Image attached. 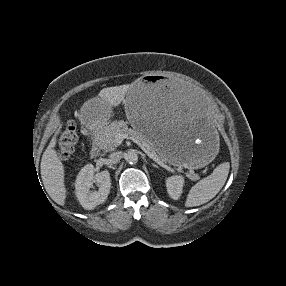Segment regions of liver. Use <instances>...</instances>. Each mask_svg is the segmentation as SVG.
<instances>
[{"instance_id":"liver-1","label":"liver","mask_w":286,"mask_h":286,"mask_svg":"<svg viewBox=\"0 0 286 286\" xmlns=\"http://www.w3.org/2000/svg\"><path fill=\"white\" fill-rule=\"evenodd\" d=\"M130 88V84L104 88L99 92L98 98L108 106L116 107L124 101ZM59 133L60 129L56 131L47 149L44 151L40 168L41 178L46 192L54 202L63 206L67 192L64 184V165L58 152L55 150L57 135Z\"/></svg>"}]
</instances>
